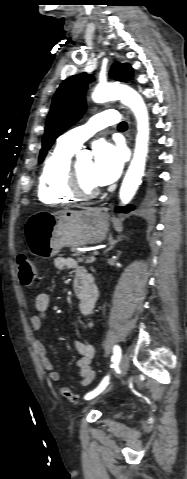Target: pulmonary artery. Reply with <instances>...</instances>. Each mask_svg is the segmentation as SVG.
<instances>
[{"label": "pulmonary artery", "instance_id": "e3ab8cb5", "mask_svg": "<svg viewBox=\"0 0 187 479\" xmlns=\"http://www.w3.org/2000/svg\"><path fill=\"white\" fill-rule=\"evenodd\" d=\"M118 120L119 115L116 110L110 109L100 112L94 115L85 125L74 128L60 136L58 141L66 147L78 150L81 144L95 132L106 126L116 124Z\"/></svg>", "mask_w": 187, "mask_h": 479}]
</instances>
